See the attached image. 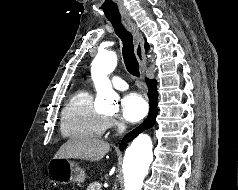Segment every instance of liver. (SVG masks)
<instances>
[{
	"label": "liver",
	"instance_id": "liver-1",
	"mask_svg": "<svg viewBox=\"0 0 238 190\" xmlns=\"http://www.w3.org/2000/svg\"><path fill=\"white\" fill-rule=\"evenodd\" d=\"M110 151V144L92 138L72 137L57 151L53 159L101 160Z\"/></svg>",
	"mask_w": 238,
	"mask_h": 190
}]
</instances>
